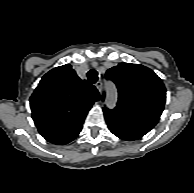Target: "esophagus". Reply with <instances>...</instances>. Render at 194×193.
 <instances>
[{
  "label": "esophagus",
  "mask_w": 194,
  "mask_h": 193,
  "mask_svg": "<svg viewBox=\"0 0 194 193\" xmlns=\"http://www.w3.org/2000/svg\"><path fill=\"white\" fill-rule=\"evenodd\" d=\"M96 87H97L99 93L102 94L103 84H102L101 81H98V82L96 83Z\"/></svg>",
  "instance_id": "obj_1"
}]
</instances>
